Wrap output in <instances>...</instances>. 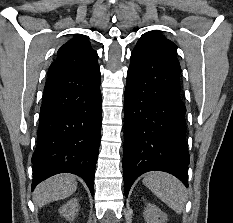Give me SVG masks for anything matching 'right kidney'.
Instances as JSON below:
<instances>
[{
  "label": "right kidney",
  "mask_w": 233,
  "mask_h": 223,
  "mask_svg": "<svg viewBox=\"0 0 233 223\" xmlns=\"http://www.w3.org/2000/svg\"><path fill=\"white\" fill-rule=\"evenodd\" d=\"M79 207V199H77V197H72V199H69V201L61 205L59 213L64 215L69 221H73L77 215V211H79Z\"/></svg>",
  "instance_id": "right-kidney-1"
}]
</instances>
